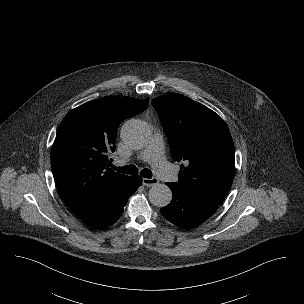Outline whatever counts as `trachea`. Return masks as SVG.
<instances>
[{"label":"trachea","mask_w":304,"mask_h":304,"mask_svg":"<svg viewBox=\"0 0 304 304\" xmlns=\"http://www.w3.org/2000/svg\"><path fill=\"white\" fill-rule=\"evenodd\" d=\"M114 169L123 174H138V169L135 165H126L123 167H114ZM140 175L145 178H152V171L150 169H143Z\"/></svg>","instance_id":"trachea-1"}]
</instances>
